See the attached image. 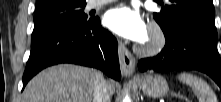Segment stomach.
I'll list each match as a JSON object with an SVG mask.
<instances>
[{"label":"stomach","mask_w":221,"mask_h":102,"mask_svg":"<svg viewBox=\"0 0 221 102\" xmlns=\"http://www.w3.org/2000/svg\"><path fill=\"white\" fill-rule=\"evenodd\" d=\"M140 89L153 98H160L169 93V87L164 77L157 74H149L141 79Z\"/></svg>","instance_id":"0dacf381"}]
</instances>
